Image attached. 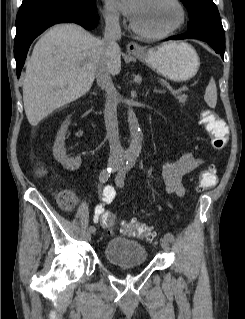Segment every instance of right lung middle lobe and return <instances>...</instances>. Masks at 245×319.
I'll return each mask as SVG.
<instances>
[{
	"instance_id": "1",
	"label": "right lung middle lobe",
	"mask_w": 245,
	"mask_h": 319,
	"mask_svg": "<svg viewBox=\"0 0 245 319\" xmlns=\"http://www.w3.org/2000/svg\"><path fill=\"white\" fill-rule=\"evenodd\" d=\"M95 0H23L20 10H29L52 4H65L75 7H88Z\"/></svg>"
}]
</instances>
